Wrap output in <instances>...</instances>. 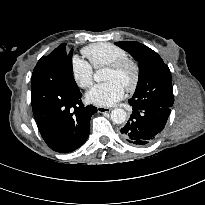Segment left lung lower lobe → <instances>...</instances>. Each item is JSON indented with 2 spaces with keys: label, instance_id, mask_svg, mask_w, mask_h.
<instances>
[{
  "label": "left lung lower lobe",
  "instance_id": "left-lung-lower-lobe-1",
  "mask_svg": "<svg viewBox=\"0 0 205 205\" xmlns=\"http://www.w3.org/2000/svg\"><path fill=\"white\" fill-rule=\"evenodd\" d=\"M130 103V102H129ZM132 115L121 128V137L127 143L143 146L152 143L164 129L170 107L133 105Z\"/></svg>",
  "mask_w": 205,
  "mask_h": 205
}]
</instances>
